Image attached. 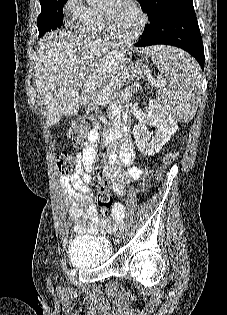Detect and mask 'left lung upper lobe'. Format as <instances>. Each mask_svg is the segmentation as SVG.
<instances>
[{
	"label": "left lung upper lobe",
	"mask_w": 227,
	"mask_h": 315,
	"mask_svg": "<svg viewBox=\"0 0 227 315\" xmlns=\"http://www.w3.org/2000/svg\"><path fill=\"white\" fill-rule=\"evenodd\" d=\"M138 2L142 10L147 13L150 22L176 7L193 5L192 0H138Z\"/></svg>",
	"instance_id": "obj_1"
}]
</instances>
